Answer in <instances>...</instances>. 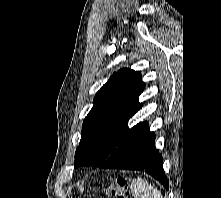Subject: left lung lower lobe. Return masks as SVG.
<instances>
[{
	"label": "left lung lower lobe",
	"instance_id": "obj_1",
	"mask_svg": "<svg viewBox=\"0 0 221 198\" xmlns=\"http://www.w3.org/2000/svg\"><path fill=\"white\" fill-rule=\"evenodd\" d=\"M155 134L146 122L126 139L99 167L100 169H132L146 171L169 189L163 170L162 156L155 149Z\"/></svg>",
	"mask_w": 221,
	"mask_h": 198
}]
</instances>
